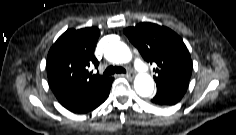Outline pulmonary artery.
I'll list each match as a JSON object with an SVG mask.
<instances>
[{"instance_id":"1","label":"pulmonary artery","mask_w":236,"mask_h":135,"mask_svg":"<svg viewBox=\"0 0 236 135\" xmlns=\"http://www.w3.org/2000/svg\"><path fill=\"white\" fill-rule=\"evenodd\" d=\"M133 64H134L135 69L138 72H141V73L148 72V67H147V65L144 63V61L141 58L135 57L133 59Z\"/></svg>"}]
</instances>
